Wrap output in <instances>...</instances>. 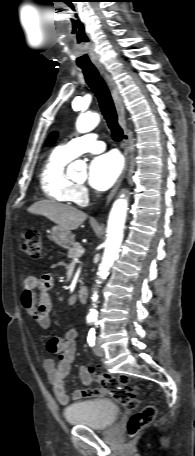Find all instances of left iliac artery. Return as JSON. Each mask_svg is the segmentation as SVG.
<instances>
[{
  "mask_svg": "<svg viewBox=\"0 0 195 456\" xmlns=\"http://www.w3.org/2000/svg\"><path fill=\"white\" fill-rule=\"evenodd\" d=\"M87 340H88L89 346H94V344H95V330H94V328L90 329Z\"/></svg>",
  "mask_w": 195,
  "mask_h": 456,
  "instance_id": "obj_1",
  "label": "left iliac artery"
}]
</instances>
